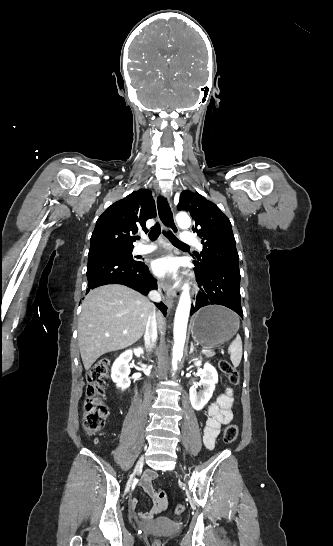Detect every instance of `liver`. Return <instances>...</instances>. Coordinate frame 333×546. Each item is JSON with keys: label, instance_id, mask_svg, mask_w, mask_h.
Returning <instances> with one entry per match:
<instances>
[{"label": "liver", "instance_id": "liver-1", "mask_svg": "<svg viewBox=\"0 0 333 546\" xmlns=\"http://www.w3.org/2000/svg\"><path fill=\"white\" fill-rule=\"evenodd\" d=\"M153 304L138 292L119 284L98 287L82 303L78 345L84 368L89 370L103 354L126 348L146 331ZM159 324L163 316L157 313Z\"/></svg>", "mask_w": 333, "mask_h": 546}]
</instances>
